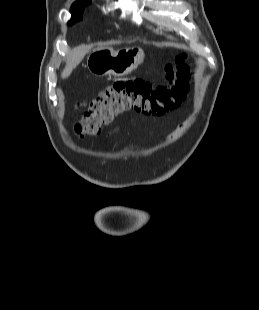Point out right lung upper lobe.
Returning a JSON list of instances; mask_svg holds the SVG:
<instances>
[{
	"label": "right lung upper lobe",
	"instance_id": "obj_1",
	"mask_svg": "<svg viewBox=\"0 0 259 310\" xmlns=\"http://www.w3.org/2000/svg\"><path fill=\"white\" fill-rule=\"evenodd\" d=\"M86 2H90V0H78L76 2H74L71 6V9H74L76 8L78 5H81L83 3H86Z\"/></svg>",
	"mask_w": 259,
	"mask_h": 310
}]
</instances>
